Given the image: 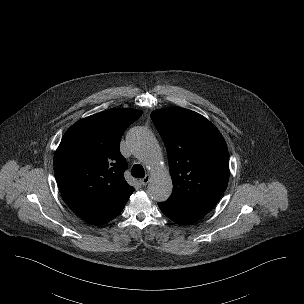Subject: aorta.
<instances>
[{
  "label": "aorta",
  "mask_w": 304,
  "mask_h": 304,
  "mask_svg": "<svg viewBox=\"0 0 304 304\" xmlns=\"http://www.w3.org/2000/svg\"><path fill=\"white\" fill-rule=\"evenodd\" d=\"M128 142L133 154L151 174L148 185L149 197L158 202L167 200L171 195L173 185L155 137L147 129L137 127L130 132Z\"/></svg>",
  "instance_id": "aorta-1"
}]
</instances>
